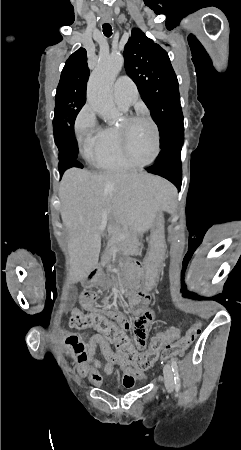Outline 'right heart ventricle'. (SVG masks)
I'll list each match as a JSON object with an SVG mask.
<instances>
[{
    "label": "right heart ventricle",
    "mask_w": 241,
    "mask_h": 450,
    "mask_svg": "<svg viewBox=\"0 0 241 450\" xmlns=\"http://www.w3.org/2000/svg\"><path fill=\"white\" fill-rule=\"evenodd\" d=\"M121 108H127L124 105L118 104ZM88 116H93L89 113ZM120 124H127L125 120H121ZM118 125V126H119ZM118 126L103 127L95 125L99 131V147L95 155H85L86 159L96 168H127V158L122 156V151L119 149V143L116 138L119 136ZM90 130H88L89 133ZM125 138V136H124ZM126 140V139H125ZM86 141V140H83Z\"/></svg>",
    "instance_id": "obj_1"
}]
</instances>
